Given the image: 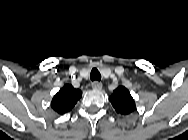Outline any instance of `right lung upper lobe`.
I'll return each instance as SVG.
<instances>
[{
    "instance_id": "obj_1",
    "label": "right lung upper lobe",
    "mask_w": 188,
    "mask_h": 140,
    "mask_svg": "<svg viewBox=\"0 0 188 140\" xmlns=\"http://www.w3.org/2000/svg\"><path fill=\"white\" fill-rule=\"evenodd\" d=\"M81 96V90L75 89L70 84H66L53 97L51 107L57 113L64 114L74 107V105L81 98Z\"/></svg>"
}]
</instances>
